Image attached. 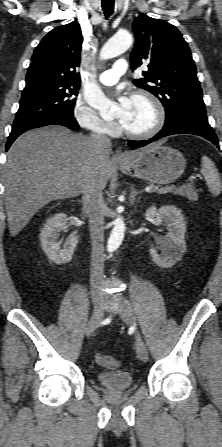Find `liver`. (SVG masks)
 <instances>
[{"label":"liver","instance_id":"obj_1","mask_svg":"<svg viewBox=\"0 0 222 447\" xmlns=\"http://www.w3.org/2000/svg\"><path fill=\"white\" fill-rule=\"evenodd\" d=\"M110 154L111 149L99 152L91 137L62 126L18 137L7 153L3 173L10 235L16 236L48 203L83 193L89 179H98L105 187L111 176Z\"/></svg>","mask_w":222,"mask_h":447}]
</instances>
